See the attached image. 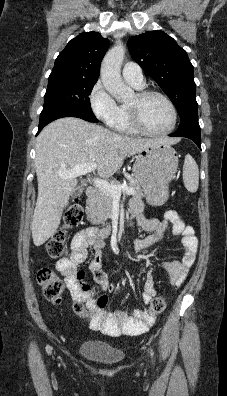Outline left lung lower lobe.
Segmentation results:
<instances>
[{"mask_svg": "<svg viewBox=\"0 0 227 396\" xmlns=\"http://www.w3.org/2000/svg\"><path fill=\"white\" fill-rule=\"evenodd\" d=\"M169 136L189 138L201 149L200 126L198 123L197 110L190 111L182 117L177 131Z\"/></svg>", "mask_w": 227, "mask_h": 396, "instance_id": "1", "label": "left lung lower lobe"}]
</instances>
